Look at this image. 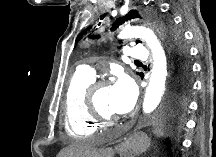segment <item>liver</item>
I'll use <instances>...</instances> for the list:
<instances>
[{"instance_id":"6515ba94","label":"liver","mask_w":216,"mask_h":157,"mask_svg":"<svg viewBox=\"0 0 216 157\" xmlns=\"http://www.w3.org/2000/svg\"><path fill=\"white\" fill-rule=\"evenodd\" d=\"M112 155V149L97 150L87 142H78L60 151L58 157H110Z\"/></svg>"}]
</instances>
